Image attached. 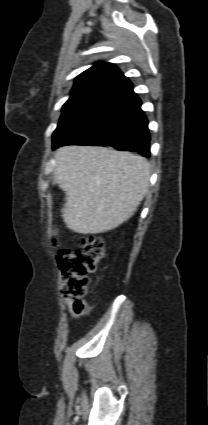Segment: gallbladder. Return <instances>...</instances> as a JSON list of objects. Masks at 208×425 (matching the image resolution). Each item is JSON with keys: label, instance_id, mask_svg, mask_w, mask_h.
<instances>
[{"label": "gallbladder", "instance_id": "bac80fb5", "mask_svg": "<svg viewBox=\"0 0 208 425\" xmlns=\"http://www.w3.org/2000/svg\"><path fill=\"white\" fill-rule=\"evenodd\" d=\"M52 184H56V180L54 178L52 179Z\"/></svg>", "mask_w": 208, "mask_h": 425}]
</instances>
